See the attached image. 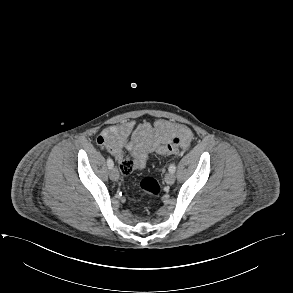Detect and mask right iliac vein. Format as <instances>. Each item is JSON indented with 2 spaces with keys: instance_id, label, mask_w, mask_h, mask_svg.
Segmentation results:
<instances>
[{
  "instance_id": "right-iliac-vein-1",
  "label": "right iliac vein",
  "mask_w": 293,
  "mask_h": 293,
  "mask_svg": "<svg viewBox=\"0 0 293 293\" xmlns=\"http://www.w3.org/2000/svg\"><path fill=\"white\" fill-rule=\"evenodd\" d=\"M110 179L117 181L119 179V172L116 168H111L109 172Z\"/></svg>"
}]
</instances>
